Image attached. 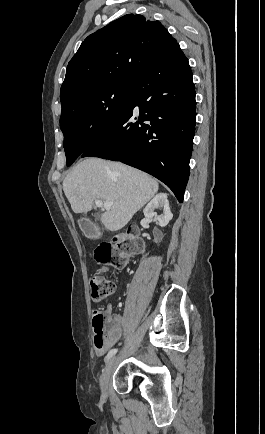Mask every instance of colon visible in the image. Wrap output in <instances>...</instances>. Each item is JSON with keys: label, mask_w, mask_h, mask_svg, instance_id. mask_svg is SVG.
Here are the masks:
<instances>
[{"label": "colon", "mask_w": 265, "mask_h": 434, "mask_svg": "<svg viewBox=\"0 0 265 434\" xmlns=\"http://www.w3.org/2000/svg\"><path fill=\"white\" fill-rule=\"evenodd\" d=\"M91 259L93 262L101 265L104 271L109 268L120 271L126 262V258L122 253L118 252L114 254L109 247H104L99 252H94ZM89 287L91 300L94 303H100L111 297L116 289L115 283L101 274L90 278ZM92 322L91 334L94 335L96 340L95 344L97 347H104L106 344L104 331H106L107 328L105 315L101 314L100 310H95L92 315Z\"/></svg>", "instance_id": "1"}]
</instances>
